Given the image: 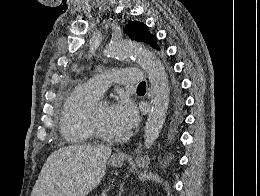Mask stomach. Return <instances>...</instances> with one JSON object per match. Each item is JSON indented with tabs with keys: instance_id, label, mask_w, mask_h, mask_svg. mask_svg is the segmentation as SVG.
<instances>
[{
	"instance_id": "0dacf381",
	"label": "stomach",
	"mask_w": 260,
	"mask_h": 196,
	"mask_svg": "<svg viewBox=\"0 0 260 196\" xmlns=\"http://www.w3.org/2000/svg\"><path fill=\"white\" fill-rule=\"evenodd\" d=\"M124 160H114V158H110L109 166H116V168H121L123 166Z\"/></svg>"
}]
</instances>
